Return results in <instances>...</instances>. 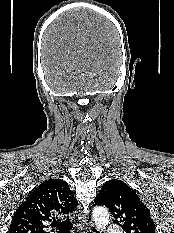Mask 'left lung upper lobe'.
<instances>
[{"label":"left lung upper lobe","mask_w":174,"mask_h":233,"mask_svg":"<svg viewBox=\"0 0 174 233\" xmlns=\"http://www.w3.org/2000/svg\"><path fill=\"white\" fill-rule=\"evenodd\" d=\"M96 205L106 206L125 233H155L154 222L136 192L123 181L106 182L95 198Z\"/></svg>","instance_id":"1"}]
</instances>
